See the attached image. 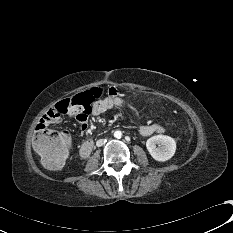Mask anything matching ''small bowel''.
<instances>
[{"instance_id":"obj_1","label":"small bowel","mask_w":233,"mask_h":233,"mask_svg":"<svg viewBox=\"0 0 233 233\" xmlns=\"http://www.w3.org/2000/svg\"><path fill=\"white\" fill-rule=\"evenodd\" d=\"M121 107L124 111H134L138 117H143L147 113V105L140 99L127 97L118 87H111L107 90L106 96L96 100L88 111H78L73 108H61L60 103L50 108L39 120L37 127L47 128L50 124L58 123L62 114L74 117L79 123L80 133L88 129V121L92 117L99 116L107 111ZM165 131L160 123H150L141 126L139 132L147 137L152 134H161ZM96 146L93 138L79 144L78 150L81 155L87 156L92 153Z\"/></svg>"}]
</instances>
